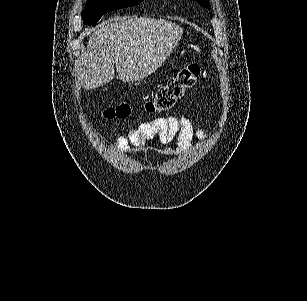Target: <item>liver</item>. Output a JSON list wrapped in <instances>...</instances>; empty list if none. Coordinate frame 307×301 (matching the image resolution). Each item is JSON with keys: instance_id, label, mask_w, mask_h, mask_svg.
<instances>
[{"instance_id": "6515ba94", "label": "liver", "mask_w": 307, "mask_h": 301, "mask_svg": "<svg viewBox=\"0 0 307 301\" xmlns=\"http://www.w3.org/2000/svg\"><path fill=\"white\" fill-rule=\"evenodd\" d=\"M182 26L158 18H111L89 36L79 60L80 84L90 90L113 80L114 64L123 82H137L162 66L176 48Z\"/></svg>"}]
</instances>
